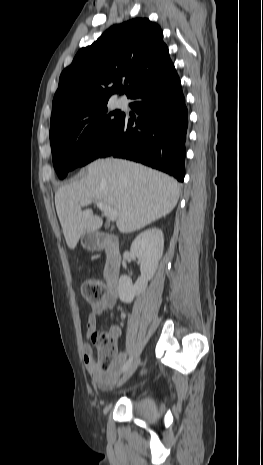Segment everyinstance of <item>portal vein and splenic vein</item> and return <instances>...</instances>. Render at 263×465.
Returning a JSON list of instances; mask_svg holds the SVG:
<instances>
[{
	"mask_svg": "<svg viewBox=\"0 0 263 465\" xmlns=\"http://www.w3.org/2000/svg\"><path fill=\"white\" fill-rule=\"evenodd\" d=\"M92 202L96 204V206L99 208V210H101L102 212H104L107 215L108 220L115 221L117 219V216H118L117 209L112 208L111 206H109L108 204H105L103 202L94 201V200H86L81 204V206H87V205L91 204Z\"/></svg>",
	"mask_w": 263,
	"mask_h": 465,
	"instance_id": "portal-vein-and-splenic-vein-1",
	"label": "portal vein and splenic vein"
}]
</instances>
